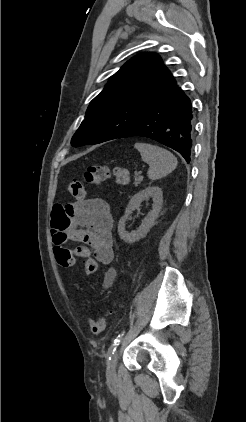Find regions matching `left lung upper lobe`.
Listing matches in <instances>:
<instances>
[{
    "label": "left lung upper lobe",
    "mask_w": 246,
    "mask_h": 422,
    "mask_svg": "<svg viewBox=\"0 0 246 422\" xmlns=\"http://www.w3.org/2000/svg\"><path fill=\"white\" fill-rule=\"evenodd\" d=\"M174 81L155 53L127 61L90 102L85 120L72 137L73 146L116 139L135 124ZM96 127L91 123H96Z\"/></svg>",
    "instance_id": "1"
}]
</instances>
